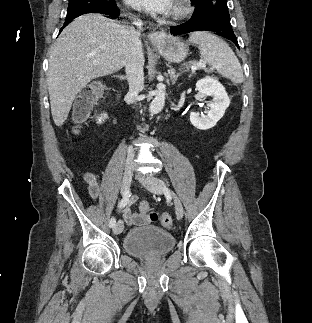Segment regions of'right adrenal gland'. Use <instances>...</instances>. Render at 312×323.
<instances>
[{
  "instance_id": "1",
  "label": "right adrenal gland",
  "mask_w": 312,
  "mask_h": 323,
  "mask_svg": "<svg viewBox=\"0 0 312 323\" xmlns=\"http://www.w3.org/2000/svg\"><path fill=\"white\" fill-rule=\"evenodd\" d=\"M118 78H120V80H126V76H118Z\"/></svg>"
}]
</instances>
